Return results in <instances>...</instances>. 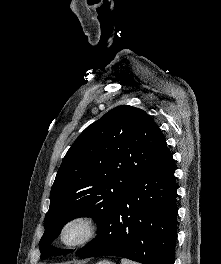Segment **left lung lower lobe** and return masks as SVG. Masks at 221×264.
<instances>
[{"label":"left lung lower lobe","instance_id":"1","mask_svg":"<svg viewBox=\"0 0 221 264\" xmlns=\"http://www.w3.org/2000/svg\"><path fill=\"white\" fill-rule=\"evenodd\" d=\"M176 184L172 154L158 160L119 199L95 239L76 255H108L142 264H174L177 237Z\"/></svg>","mask_w":221,"mask_h":264}]
</instances>
